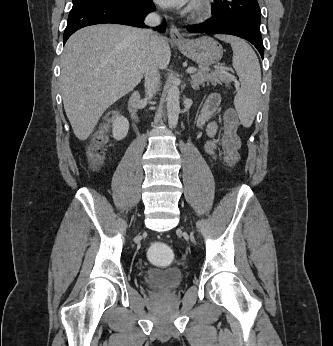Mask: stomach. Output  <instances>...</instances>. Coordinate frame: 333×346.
Masks as SVG:
<instances>
[{
  "mask_svg": "<svg viewBox=\"0 0 333 346\" xmlns=\"http://www.w3.org/2000/svg\"><path fill=\"white\" fill-rule=\"evenodd\" d=\"M181 53L201 66L208 67L217 63L223 55L222 46L210 37H201L176 43Z\"/></svg>",
  "mask_w": 333,
  "mask_h": 346,
  "instance_id": "1",
  "label": "stomach"
}]
</instances>
